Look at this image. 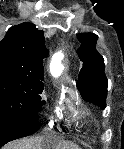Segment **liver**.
<instances>
[{
    "label": "liver",
    "instance_id": "6515ba94",
    "mask_svg": "<svg viewBox=\"0 0 124 149\" xmlns=\"http://www.w3.org/2000/svg\"><path fill=\"white\" fill-rule=\"evenodd\" d=\"M55 138L35 137L23 139L6 146L4 149H42L44 143H51ZM61 149H79L78 146L71 143H64Z\"/></svg>",
    "mask_w": 124,
    "mask_h": 149
}]
</instances>
